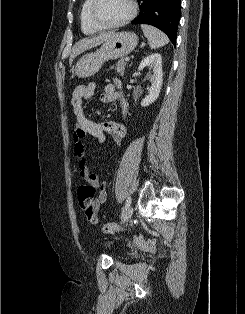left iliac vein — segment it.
Here are the masks:
<instances>
[{
  "instance_id": "4c4485c4",
  "label": "left iliac vein",
  "mask_w": 245,
  "mask_h": 314,
  "mask_svg": "<svg viewBox=\"0 0 245 314\" xmlns=\"http://www.w3.org/2000/svg\"><path fill=\"white\" fill-rule=\"evenodd\" d=\"M132 215H133V207L129 205L123 215L122 224H125L132 217Z\"/></svg>"
}]
</instances>
